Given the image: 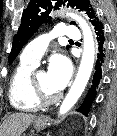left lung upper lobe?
<instances>
[{
  "mask_svg": "<svg viewBox=\"0 0 117 136\" xmlns=\"http://www.w3.org/2000/svg\"><path fill=\"white\" fill-rule=\"evenodd\" d=\"M76 7L84 11L90 18L94 26L99 22L96 11L88 0H30L27 8L23 12L21 25L18 29L12 44V50L8 56L9 64L17 57L25 43L33 36L40 25L50 21L49 13L52 9H58L61 6ZM67 48H69L67 46Z\"/></svg>",
  "mask_w": 117,
  "mask_h": 136,
  "instance_id": "left-lung-upper-lobe-1",
  "label": "left lung upper lobe"
}]
</instances>
